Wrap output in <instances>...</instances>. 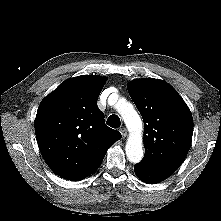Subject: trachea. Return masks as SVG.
<instances>
[{"instance_id":"1","label":"trachea","mask_w":221,"mask_h":221,"mask_svg":"<svg viewBox=\"0 0 221 221\" xmlns=\"http://www.w3.org/2000/svg\"><path fill=\"white\" fill-rule=\"evenodd\" d=\"M107 125L112 128H119L121 125L120 118L117 115H110L107 119Z\"/></svg>"}]
</instances>
